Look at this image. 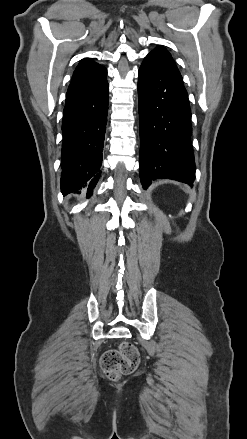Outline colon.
<instances>
[{
	"instance_id": "5ec220e1",
	"label": "colon",
	"mask_w": 247,
	"mask_h": 439,
	"mask_svg": "<svg viewBox=\"0 0 247 439\" xmlns=\"http://www.w3.org/2000/svg\"><path fill=\"white\" fill-rule=\"evenodd\" d=\"M139 352L130 342H123L118 349L106 351L101 358V367L109 378L116 380L132 373L139 363Z\"/></svg>"
}]
</instances>
